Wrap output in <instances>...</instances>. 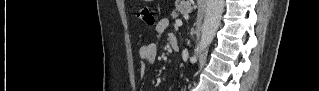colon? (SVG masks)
I'll return each mask as SVG.
<instances>
[{
  "label": "colon",
  "instance_id": "5ec220e1",
  "mask_svg": "<svg viewBox=\"0 0 319 91\" xmlns=\"http://www.w3.org/2000/svg\"><path fill=\"white\" fill-rule=\"evenodd\" d=\"M138 18L147 26H153L155 24V17L152 10L148 6H143L138 9Z\"/></svg>",
  "mask_w": 319,
  "mask_h": 91
}]
</instances>
